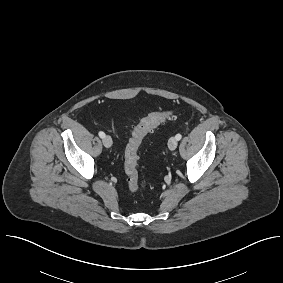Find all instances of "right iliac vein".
I'll return each mask as SVG.
<instances>
[{"label": "right iliac vein", "mask_w": 283, "mask_h": 283, "mask_svg": "<svg viewBox=\"0 0 283 283\" xmlns=\"http://www.w3.org/2000/svg\"><path fill=\"white\" fill-rule=\"evenodd\" d=\"M112 138L110 136H105L103 138V144L105 147L110 148L112 146Z\"/></svg>", "instance_id": "1"}]
</instances>
